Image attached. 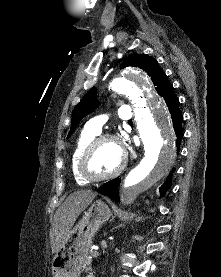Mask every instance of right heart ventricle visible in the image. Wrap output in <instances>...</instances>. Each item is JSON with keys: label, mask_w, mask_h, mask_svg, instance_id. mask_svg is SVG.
Wrapping results in <instances>:
<instances>
[{"label": "right heart ventricle", "mask_w": 221, "mask_h": 277, "mask_svg": "<svg viewBox=\"0 0 221 277\" xmlns=\"http://www.w3.org/2000/svg\"><path fill=\"white\" fill-rule=\"evenodd\" d=\"M98 135L87 128H85L78 136L71 157V170L75 181L78 184H86L88 181L85 180L79 173L78 162L81 157L82 152L86 146Z\"/></svg>", "instance_id": "obj_1"}]
</instances>
